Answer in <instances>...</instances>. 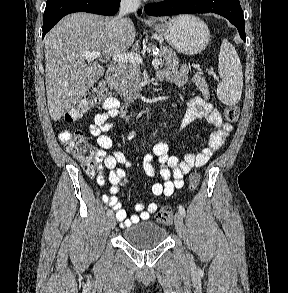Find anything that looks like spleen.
<instances>
[{"label": "spleen", "mask_w": 288, "mask_h": 293, "mask_svg": "<svg viewBox=\"0 0 288 293\" xmlns=\"http://www.w3.org/2000/svg\"><path fill=\"white\" fill-rule=\"evenodd\" d=\"M218 60L221 82L217 87V96L222 103L235 105L242 93L243 72L238 54L227 39L222 41Z\"/></svg>", "instance_id": "3e777b00"}]
</instances>
